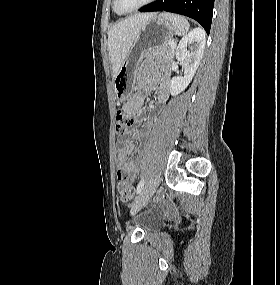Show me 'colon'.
Listing matches in <instances>:
<instances>
[{
    "mask_svg": "<svg viewBox=\"0 0 280 285\" xmlns=\"http://www.w3.org/2000/svg\"><path fill=\"white\" fill-rule=\"evenodd\" d=\"M134 122V116L124 108H118L115 113V131L117 134L125 132ZM118 193L122 200L128 201L133 196L132 184L124 179L118 183Z\"/></svg>",
    "mask_w": 280,
    "mask_h": 285,
    "instance_id": "5ec220e1",
    "label": "colon"
}]
</instances>
